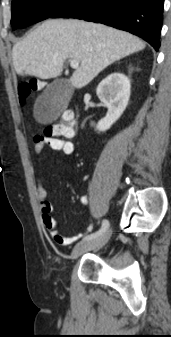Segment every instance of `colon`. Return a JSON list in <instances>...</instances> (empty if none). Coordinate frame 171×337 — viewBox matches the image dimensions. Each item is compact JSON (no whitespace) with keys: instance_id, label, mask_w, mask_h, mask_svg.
<instances>
[{"instance_id":"1","label":"colon","mask_w":171,"mask_h":337,"mask_svg":"<svg viewBox=\"0 0 171 337\" xmlns=\"http://www.w3.org/2000/svg\"><path fill=\"white\" fill-rule=\"evenodd\" d=\"M45 85L44 81L29 80L21 83L18 87V93L21 101H25L32 94L39 91ZM73 133V122L67 115L64 118L54 124H50L45 129V136L49 137H68Z\"/></svg>"}]
</instances>
